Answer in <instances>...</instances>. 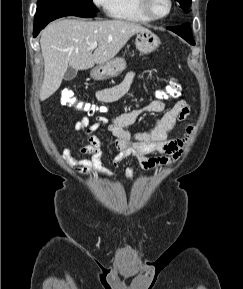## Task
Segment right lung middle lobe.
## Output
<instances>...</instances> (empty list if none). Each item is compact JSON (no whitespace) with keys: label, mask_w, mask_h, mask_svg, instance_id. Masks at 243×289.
<instances>
[{"label":"right lung middle lobe","mask_w":243,"mask_h":289,"mask_svg":"<svg viewBox=\"0 0 243 289\" xmlns=\"http://www.w3.org/2000/svg\"><path fill=\"white\" fill-rule=\"evenodd\" d=\"M37 11H70L75 13H95V7L92 0H39Z\"/></svg>","instance_id":"obj_1"}]
</instances>
